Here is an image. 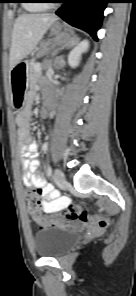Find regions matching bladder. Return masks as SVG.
<instances>
[{
  "instance_id": "1",
  "label": "bladder",
  "mask_w": 136,
  "mask_h": 296,
  "mask_svg": "<svg viewBox=\"0 0 136 296\" xmlns=\"http://www.w3.org/2000/svg\"><path fill=\"white\" fill-rule=\"evenodd\" d=\"M77 239V233L65 226L47 227L34 234L35 251L42 257H60L76 244Z\"/></svg>"
}]
</instances>
